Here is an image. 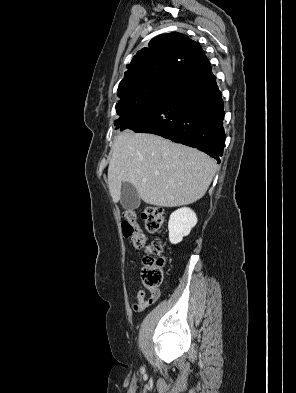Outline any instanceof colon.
Returning <instances> with one entry per match:
<instances>
[{
	"mask_svg": "<svg viewBox=\"0 0 296 393\" xmlns=\"http://www.w3.org/2000/svg\"><path fill=\"white\" fill-rule=\"evenodd\" d=\"M142 217L149 232L159 233L165 220V211L160 206L150 205L143 210ZM122 233L124 237L131 240L136 249L146 250L147 254L143 259L140 278L150 294L155 295L164 280V260L159 256L161 246L158 243L145 244V237L139 228L137 215L134 211L125 212L122 221Z\"/></svg>",
	"mask_w": 296,
	"mask_h": 393,
	"instance_id": "obj_1",
	"label": "colon"
}]
</instances>
